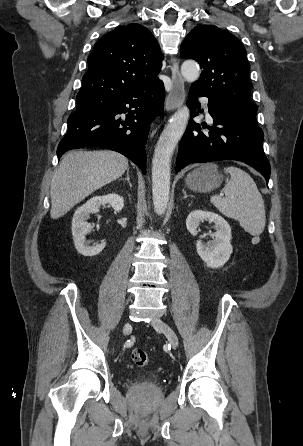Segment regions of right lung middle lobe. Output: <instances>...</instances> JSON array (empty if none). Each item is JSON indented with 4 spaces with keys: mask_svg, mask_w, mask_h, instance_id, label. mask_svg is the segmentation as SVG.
Instances as JSON below:
<instances>
[{
    "mask_svg": "<svg viewBox=\"0 0 303 446\" xmlns=\"http://www.w3.org/2000/svg\"><path fill=\"white\" fill-rule=\"evenodd\" d=\"M86 106L84 105V100L77 98V108Z\"/></svg>",
    "mask_w": 303,
    "mask_h": 446,
    "instance_id": "obj_1",
    "label": "right lung middle lobe"
}]
</instances>
